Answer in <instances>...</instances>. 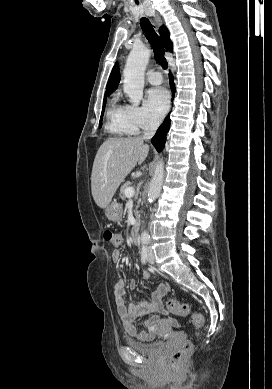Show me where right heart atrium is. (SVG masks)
<instances>
[{
	"instance_id": "d8ad5b80",
	"label": "right heart atrium",
	"mask_w": 272,
	"mask_h": 389,
	"mask_svg": "<svg viewBox=\"0 0 272 389\" xmlns=\"http://www.w3.org/2000/svg\"><path fill=\"white\" fill-rule=\"evenodd\" d=\"M129 112L132 122L137 130H147L157 125L156 120L150 115V113L141 106L130 105Z\"/></svg>"
}]
</instances>
